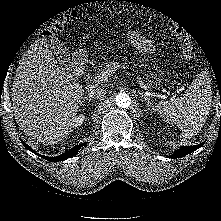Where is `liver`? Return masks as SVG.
I'll list each match as a JSON object with an SVG mask.
<instances>
[{
	"mask_svg": "<svg viewBox=\"0 0 221 221\" xmlns=\"http://www.w3.org/2000/svg\"><path fill=\"white\" fill-rule=\"evenodd\" d=\"M84 94L42 39L27 50L17 68L12 87L15 120L34 141L56 144L72 131L69 122Z\"/></svg>",
	"mask_w": 221,
	"mask_h": 221,
	"instance_id": "6515ba94",
	"label": "liver"
}]
</instances>
